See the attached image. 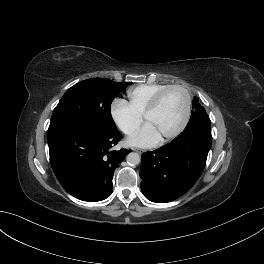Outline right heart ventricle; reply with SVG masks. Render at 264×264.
<instances>
[{
    "label": "right heart ventricle",
    "instance_id": "e07e8e85",
    "mask_svg": "<svg viewBox=\"0 0 264 264\" xmlns=\"http://www.w3.org/2000/svg\"><path fill=\"white\" fill-rule=\"evenodd\" d=\"M167 86L169 85L153 83L132 87L127 91L128 103L139 115H143L155 95Z\"/></svg>",
    "mask_w": 264,
    "mask_h": 264
}]
</instances>
